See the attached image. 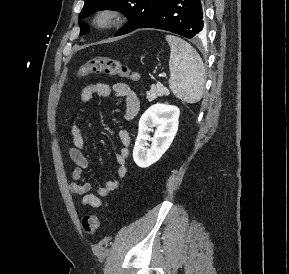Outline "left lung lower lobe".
<instances>
[{
    "label": "left lung lower lobe",
    "mask_w": 289,
    "mask_h": 274,
    "mask_svg": "<svg viewBox=\"0 0 289 274\" xmlns=\"http://www.w3.org/2000/svg\"><path fill=\"white\" fill-rule=\"evenodd\" d=\"M138 28H156L170 31L189 39L204 35L201 0H165Z\"/></svg>",
    "instance_id": "1"
}]
</instances>
